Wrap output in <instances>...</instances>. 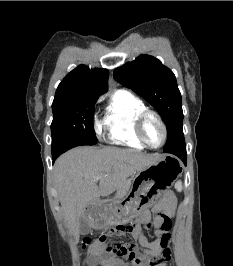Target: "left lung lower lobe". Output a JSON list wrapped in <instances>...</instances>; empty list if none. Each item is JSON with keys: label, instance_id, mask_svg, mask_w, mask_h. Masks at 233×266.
I'll return each instance as SVG.
<instances>
[{"label": "left lung lower lobe", "instance_id": "1", "mask_svg": "<svg viewBox=\"0 0 233 266\" xmlns=\"http://www.w3.org/2000/svg\"><path fill=\"white\" fill-rule=\"evenodd\" d=\"M166 153H170L179 157L186 165V146L184 138L176 141L172 146L163 149Z\"/></svg>", "mask_w": 233, "mask_h": 266}]
</instances>
